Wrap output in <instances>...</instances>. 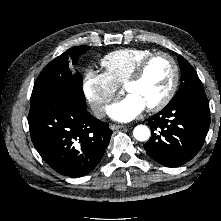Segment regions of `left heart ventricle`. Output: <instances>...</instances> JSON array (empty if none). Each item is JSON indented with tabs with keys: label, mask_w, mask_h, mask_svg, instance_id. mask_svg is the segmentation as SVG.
I'll list each match as a JSON object with an SVG mask.
<instances>
[{
	"label": "left heart ventricle",
	"mask_w": 221,
	"mask_h": 221,
	"mask_svg": "<svg viewBox=\"0 0 221 221\" xmlns=\"http://www.w3.org/2000/svg\"><path fill=\"white\" fill-rule=\"evenodd\" d=\"M172 78L173 69L170 61L158 56L149 63L143 77L138 82L126 86L125 91L136 95L148 107L164 97Z\"/></svg>",
	"instance_id": "1"
}]
</instances>
